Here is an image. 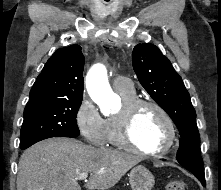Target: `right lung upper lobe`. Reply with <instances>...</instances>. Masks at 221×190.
Returning <instances> with one entry per match:
<instances>
[{"mask_svg": "<svg viewBox=\"0 0 221 190\" xmlns=\"http://www.w3.org/2000/svg\"><path fill=\"white\" fill-rule=\"evenodd\" d=\"M84 55L79 45L55 51L37 77L27 105L83 99Z\"/></svg>", "mask_w": 221, "mask_h": 190, "instance_id": "obj_1", "label": "right lung upper lobe"}]
</instances>
